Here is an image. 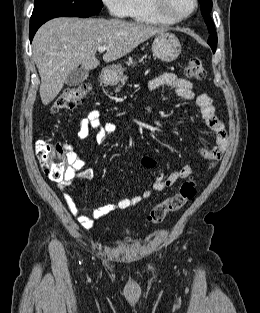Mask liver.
<instances>
[{
  "instance_id": "liver-1",
  "label": "liver",
  "mask_w": 260,
  "mask_h": 313,
  "mask_svg": "<svg viewBox=\"0 0 260 313\" xmlns=\"http://www.w3.org/2000/svg\"><path fill=\"white\" fill-rule=\"evenodd\" d=\"M165 28L120 19H52L42 25L32 42L33 58L41 84L40 97L48 105L63 88L67 76L79 65L92 70L100 65L99 46H107L105 62L115 61Z\"/></svg>"
}]
</instances>
